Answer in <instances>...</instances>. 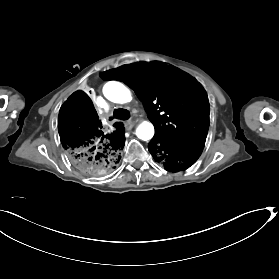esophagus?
<instances>
[{"label":"esophagus","instance_id":"esophagus-1","mask_svg":"<svg viewBox=\"0 0 279 279\" xmlns=\"http://www.w3.org/2000/svg\"><path fill=\"white\" fill-rule=\"evenodd\" d=\"M124 124H125V129H126L127 131H129V130H131V129L133 128L135 122H134V121H131V120H128V121H125Z\"/></svg>","mask_w":279,"mask_h":279}]
</instances>
